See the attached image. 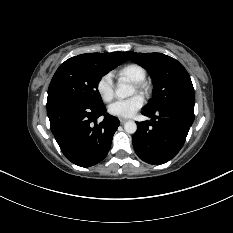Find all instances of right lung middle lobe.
<instances>
[{"label":"right lung middle lobe","instance_id":"dd1d6c3e","mask_svg":"<svg viewBox=\"0 0 233 233\" xmlns=\"http://www.w3.org/2000/svg\"><path fill=\"white\" fill-rule=\"evenodd\" d=\"M123 62L90 53L69 58L54 74L47 101L73 100L94 108L103 107L98 83L102 76Z\"/></svg>","mask_w":233,"mask_h":233}]
</instances>
